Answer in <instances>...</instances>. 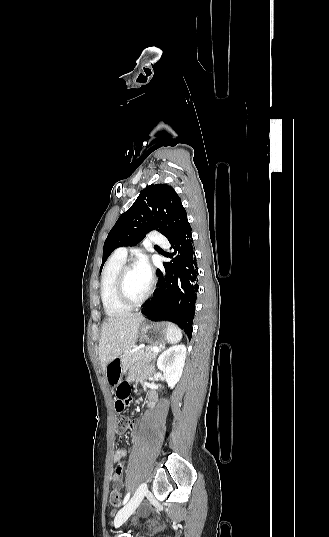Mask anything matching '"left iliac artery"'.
Returning a JSON list of instances; mask_svg holds the SVG:
<instances>
[{"label":"left iliac artery","mask_w":329,"mask_h":537,"mask_svg":"<svg viewBox=\"0 0 329 537\" xmlns=\"http://www.w3.org/2000/svg\"><path fill=\"white\" fill-rule=\"evenodd\" d=\"M130 495H131V492H128V493L126 494V496H125V498H124V500H123V503H122L123 505H125V504L128 502V500H129V498H130Z\"/></svg>","instance_id":"obj_1"}]
</instances>
